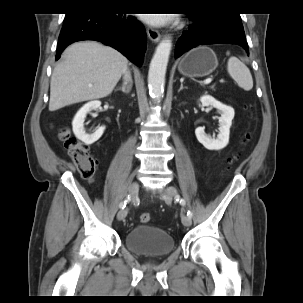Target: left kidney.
<instances>
[{
	"label": "left kidney",
	"instance_id": "5707ae66",
	"mask_svg": "<svg viewBox=\"0 0 303 303\" xmlns=\"http://www.w3.org/2000/svg\"><path fill=\"white\" fill-rule=\"evenodd\" d=\"M202 107L211 106L221 112L219 117V134L217 138H211L205 134L203 127L195 130L197 140L208 150H221L225 148L229 142L230 127L234 118V109L217 101L210 95H203L200 98Z\"/></svg>",
	"mask_w": 303,
	"mask_h": 303
}]
</instances>
